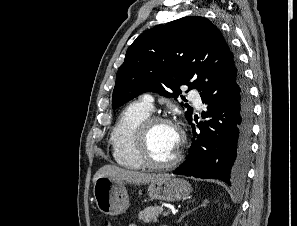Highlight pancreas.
Listing matches in <instances>:
<instances>
[{"instance_id":"pancreas-1","label":"pancreas","mask_w":297,"mask_h":226,"mask_svg":"<svg viewBox=\"0 0 297 226\" xmlns=\"http://www.w3.org/2000/svg\"><path fill=\"white\" fill-rule=\"evenodd\" d=\"M162 212L163 208L159 206L146 207L139 213L138 218L140 221L151 223L157 221Z\"/></svg>"}]
</instances>
